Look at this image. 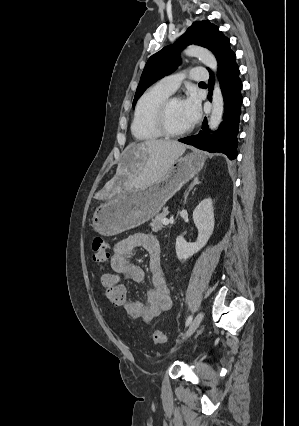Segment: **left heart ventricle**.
Listing matches in <instances>:
<instances>
[{"label": "left heart ventricle", "instance_id": "left-heart-ventricle-1", "mask_svg": "<svg viewBox=\"0 0 299 426\" xmlns=\"http://www.w3.org/2000/svg\"><path fill=\"white\" fill-rule=\"evenodd\" d=\"M167 123L170 129L174 131L182 130L190 125L182 101H174L167 115Z\"/></svg>", "mask_w": 299, "mask_h": 426}]
</instances>
